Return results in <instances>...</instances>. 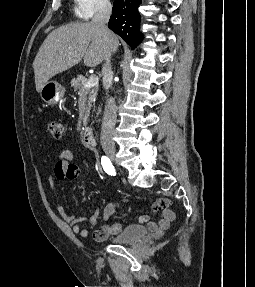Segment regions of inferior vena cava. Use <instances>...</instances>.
I'll return each mask as SVG.
<instances>
[{"mask_svg":"<svg viewBox=\"0 0 255 287\" xmlns=\"http://www.w3.org/2000/svg\"><path fill=\"white\" fill-rule=\"evenodd\" d=\"M112 6L108 0H99L96 4V12L92 18L91 24H97L99 26L105 42H108L109 36H112L109 28L105 26L108 24L109 18L111 16ZM104 64L102 66V76H103V88L104 90H109L113 82L111 58L108 46L104 50L103 56ZM117 116V108L114 102V98H108L106 100L104 120L101 128V145L102 147H114V142H112V132L114 130L115 122Z\"/></svg>","mask_w":255,"mask_h":287,"instance_id":"602c4592","label":"inferior vena cava"}]
</instances>
